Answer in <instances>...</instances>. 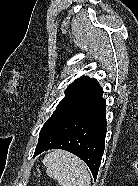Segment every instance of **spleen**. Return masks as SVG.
Here are the masks:
<instances>
[{"label": "spleen", "instance_id": "3e777b00", "mask_svg": "<svg viewBox=\"0 0 138 186\" xmlns=\"http://www.w3.org/2000/svg\"><path fill=\"white\" fill-rule=\"evenodd\" d=\"M47 175L60 186H90L91 179L85 163L75 155L54 150L43 160Z\"/></svg>", "mask_w": 138, "mask_h": 186}]
</instances>
